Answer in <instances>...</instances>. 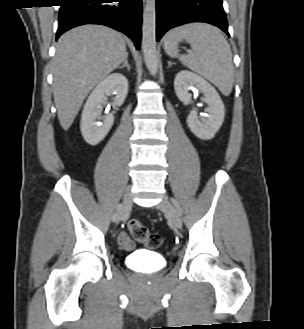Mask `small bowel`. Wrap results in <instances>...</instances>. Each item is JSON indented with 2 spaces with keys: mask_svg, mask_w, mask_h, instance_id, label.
<instances>
[{
  "mask_svg": "<svg viewBox=\"0 0 304 329\" xmlns=\"http://www.w3.org/2000/svg\"><path fill=\"white\" fill-rule=\"evenodd\" d=\"M118 242L120 246L126 251H132L135 248L134 243L129 239L125 233H121L118 236Z\"/></svg>",
  "mask_w": 304,
  "mask_h": 329,
  "instance_id": "obj_1",
  "label": "small bowel"
}]
</instances>
